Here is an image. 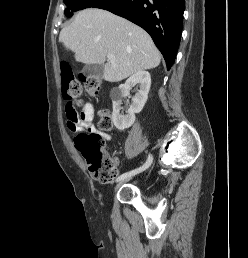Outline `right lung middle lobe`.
<instances>
[{
  "label": "right lung middle lobe",
  "instance_id": "1",
  "mask_svg": "<svg viewBox=\"0 0 248 258\" xmlns=\"http://www.w3.org/2000/svg\"><path fill=\"white\" fill-rule=\"evenodd\" d=\"M108 0H64L66 4L65 15L71 17L77 10L95 7L98 4L104 3Z\"/></svg>",
  "mask_w": 248,
  "mask_h": 258
}]
</instances>
